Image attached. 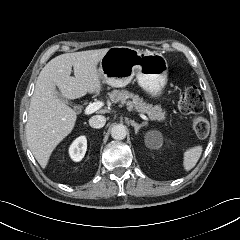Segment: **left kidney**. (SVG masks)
Instances as JSON below:
<instances>
[{"mask_svg": "<svg viewBox=\"0 0 240 240\" xmlns=\"http://www.w3.org/2000/svg\"><path fill=\"white\" fill-rule=\"evenodd\" d=\"M146 146L151 149H158L162 146L163 138L160 132L152 131L149 132L145 140Z\"/></svg>", "mask_w": 240, "mask_h": 240, "instance_id": "obj_1", "label": "left kidney"}]
</instances>
